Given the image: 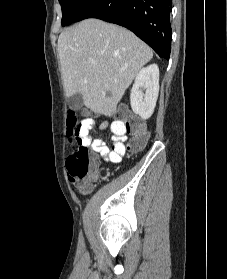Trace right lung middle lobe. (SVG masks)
<instances>
[{
  "label": "right lung middle lobe",
  "mask_w": 227,
  "mask_h": 279,
  "mask_svg": "<svg viewBox=\"0 0 227 279\" xmlns=\"http://www.w3.org/2000/svg\"><path fill=\"white\" fill-rule=\"evenodd\" d=\"M87 0H59L62 7V26L71 24Z\"/></svg>",
  "instance_id": "dd1d6c3e"
}]
</instances>
